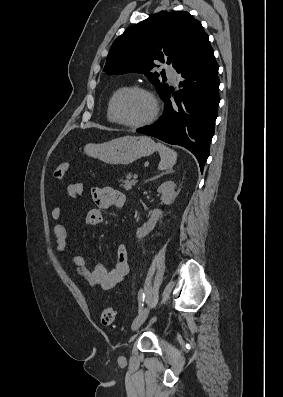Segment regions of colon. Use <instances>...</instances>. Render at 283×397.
<instances>
[{"mask_svg": "<svg viewBox=\"0 0 283 397\" xmlns=\"http://www.w3.org/2000/svg\"><path fill=\"white\" fill-rule=\"evenodd\" d=\"M69 162L60 163L54 170V177L56 179L63 178L70 169ZM115 322V310L111 307H107L102 311L101 314V323L104 326H113Z\"/></svg>", "mask_w": 283, "mask_h": 397, "instance_id": "obj_1", "label": "colon"}]
</instances>
